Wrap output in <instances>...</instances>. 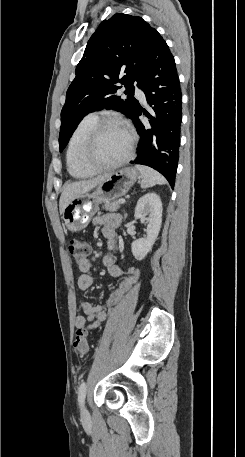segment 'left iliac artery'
Wrapping results in <instances>:
<instances>
[{
    "label": "left iliac artery",
    "mask_w": 245,
    "mask_h": 457,
    "mask_svg": "<svg viewBox=\"0 0 245 457\" xmlns=\"http://www.w3.org/2000/svg\"><path fill=\"white\" fill-rule=\"evenodd\" d=\"M86 390H87L86 382H82L79 387V390H78V401H79L80 405H82L84 403V400L86 397Z\"/></svg>",
    "instance_id": "obj_1"
}]
</instances>
